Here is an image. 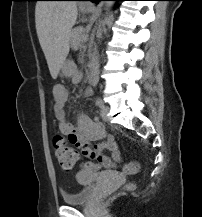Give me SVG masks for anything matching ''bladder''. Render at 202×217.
Listing matches in <instances>:
<instances>
[{
    "label": "bladder",
    "mask_w": 202,
    "mask_h": 217,
    "mask_svg": "<svg viewBox=\"0 0 202 217\" xmlns=\"http://www.w3.org/2000/svg\"><path fill=\"white\" fill-rule=\"evenodd\" d=\"M115 177L113 172H92L83 170L77 173L76 180L80 188L75 193H63L62 200L68 205H82L90 202L96 190V182L101 178Z\"/></svg>",
    "instance_id": "1"
}]
</instances>
